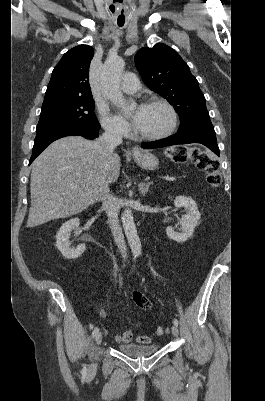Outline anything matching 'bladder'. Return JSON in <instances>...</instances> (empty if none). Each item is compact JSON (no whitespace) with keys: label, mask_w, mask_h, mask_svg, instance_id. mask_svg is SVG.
Returning <instances> with one entry per match:
<instances>
[{"label":"bladder","mask_w":265,"mask_h":401,"mask_svg":"<svg viewBox=\"0 0 265 401\" xmlns=\"http://www.w3.org/2000/svg\"><path fill=\"white\" fill-rule=\"evenodd\" d=\"M119 350L123 353L130 354L133 357L149 356L159 350V344L145 346L137 344L120 345Z\"/></svg>","instance_id":"1"}]
</instances>
